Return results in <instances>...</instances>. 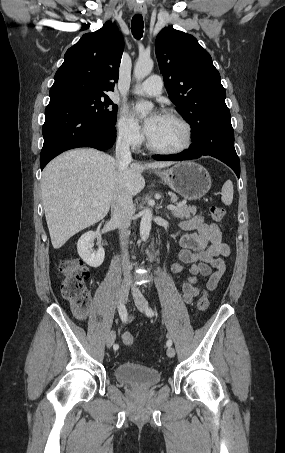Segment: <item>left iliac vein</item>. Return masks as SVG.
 I'll return each mask as SVG.
<instances>
[{
	"label": "left iliac vein",
	"mask_w": 285,
	"mask_h": 453,
	"mask_svg": "<svg viewBox=\"0 0 285 453\" xmlns=\"http://www.w3.org/2000/svg\"><path fill=\"white\" fill-rule=\"evenodd\" d=\"M132 295L138 310L144 312L148 307V302L136 286L133 287ZM167 356L170 358L175 356V349L173 347L169 346L167 348Z\"/></svg>",
	"instance_id": "obj_1"
}]
</instances>
